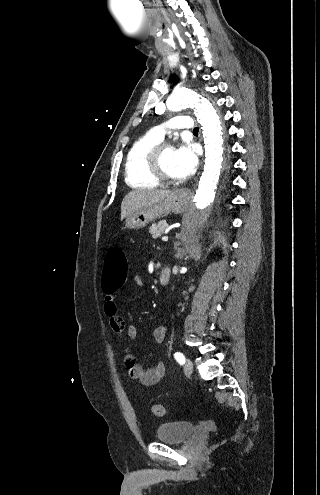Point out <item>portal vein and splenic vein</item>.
Masks as SVG:
<instances>
[{
	"label": "portal vein and splenic vein",
	"instance_id": "obj_1",
	"mask_svg": "<svg viewBox=\"0 0 320 495\" xmlns=\"http://www.w3.org/2000/svg\"><path fill=\"white\" fill-rule=\"evenodd\" d=\"M167 239H168V237H167V236H164V237L162 238V240H163V241H165V240H167Z\"/></svg>",
	"mask_w": 320,
	"mask_h": 495
}]
</instances>
